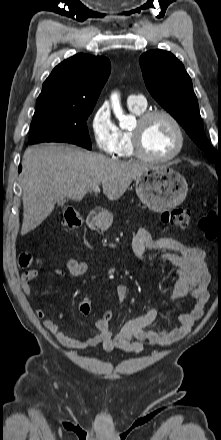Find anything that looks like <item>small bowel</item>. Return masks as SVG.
I'll return each instance as SVG.
<instances>
[{
  "label": "small bowel",
  "instance_id": "small-bowel-1",
  "mask_svg": "<svg viewBox=\"0 0 221 440\" xmlns=\"http://www.w3.org/2000/svg\"><path fill=\"white\" fill-rule=\"evenodd\" d=\"M131 248L138 259L142 258L145 249L161 252V260L172 265L171 273L177 278L170 297L171 301L176 302L192 297L195 300L193 309L179 315V327L164 326L161 330L154 331L149 329V326L159 318L161 311L153 308L126 321L119 332L114 335L110 329L111 321H103L101 317L95 323L97 334L84 338L65 334L56 322L46 318L42 309H36V316L43 321L45 328L62 346L68 349H86L101 345L106 351L120 349L134 353L142 350L144 346H163L183 338L202 318L208 301L207 284L209 281L203 250L169 237L153 239L150 232L144 228L139 229L133 237ZM65 266L74 277L82 276L88 270L86 261L73 258L66 259ZM53 271L59 276H64L61 269L56 268ZM38 274V270H30L21 276L22 289L29 297H31L30 283ZM116 295L118 300L123 302L128 295V287L119 284L116 287ZM60 316L62 317L63 314L61 313Z\"/></svg>",
  "mask_w": 221,
  "mask_h": 440
}]
</instances>
